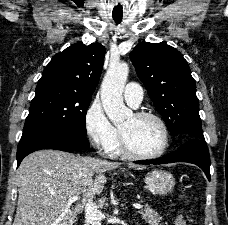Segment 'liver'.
<instances>
[{
  "instance_id": "obj_1",
  "label": "liver",
  "mask_w": 228,
  "mask_h": 225,
  "mask_svg": "<svg viewBox=\"0 0 228 225\" xmlns=\"http://www.w3.org/2000/svg\"><path fill=\"white\" fill-rule=\"evenodd\" d=\"M119 165L52 149L31 153L17 169L19 197L13 225H74L85 199L103 189L106 177L102 173ZM134 167L129 163V169ZM70 197L79 201L72 205Z\"/></svg>"
}]
</instances>
